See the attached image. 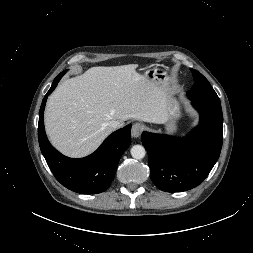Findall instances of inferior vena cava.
Returning <instances> with one entry per match:
<instances>
[{
	"label": "inferior vena cava",
	"instance_id": "inferior-vena-cava-1",
	"mask_svg": "<svg viewBox=\"0 0 253 253\" xmlns=\"http://www.w3.org/2000/svg\"><path fill=\"white\" fill-rule=\"evenodd\" d=\"M108 126H109L112 130H114V129H116V128H118V127L120 126V122H119V121H110V122L108 123Z\"/></svg>",
	"mask_w": 253,
	"mask_h": 253
}]
</instances>
